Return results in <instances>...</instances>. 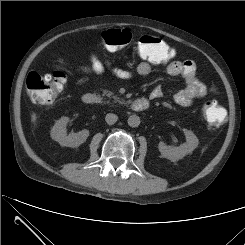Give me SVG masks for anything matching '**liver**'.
Returning a JSON list of instances; mask_svg holds the SVG:
<instances>
[{"label": "liver", "instance_id": "obj_1", "mask_svg": "<svg viewBox=\"0 0 245 245\" xmlns=\"http://www.w3.org/2000/svg\"><path fill=\"white\" fill-rule=\"evenodd\" d=\"M31 117H32V119H31L32 122L35 123L36 122V114L35 113H32V116Z\"/></svg>", "mask_w": 245, "mask_h": 245}]
</instances>
